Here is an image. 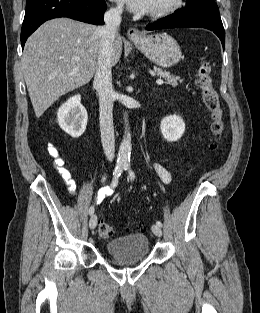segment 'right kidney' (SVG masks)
<instances>
[{
	"label": "right kidney",
	"mask_w": 260,
	"mask_h": 313,
	"mask_svg": "<svg viewBox=\"0 0 260 313\" xmlns=\"http://www.w3.org/2000/svg\"><path fill=\"white\" fill-rule=\"evenodd\" d=\"M80 101V95H75L68 99L57 112L60 128L72 138L80 137L87 126V111Z\"/></svg>",
	"instance_id": "right-kidney-1"
}]
</instances>
